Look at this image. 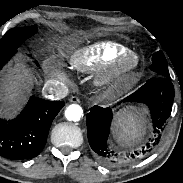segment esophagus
Instances as JSON below:
<instances>
[{
	"mask_svg": "<svg viewBox=\"0 0 183 183\" xmlns=\"http://www.w3.org/2000/svg\"><path fill=\"white\" fill-rule=\"evenodd\" d=\"M69 101L72 103H80V99L77 96H72Z\"/></svg>",
	"mask_w": 183,
	"mask_h": 183,
	"instance_id": "34e87169",
	"label": "esophagus"
}]
</instances>
